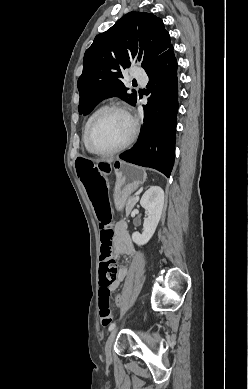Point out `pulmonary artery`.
Instances as JSON below:
<instances>
[{"mask_svg": "<svg viewBox=\"0 0 248 389\" xmlns=\"http://www.w3.org/2000/svg\"><path fill=\"white\" fill-rule=\"evenodd\" d=\"M134 78L138 82L143 83V84H145L147 82V77H146V75H143V74L134 73Z\"/></svg>", "mask_w": 248, "mask_h": 389, "instance_id": "1", "label": "pulmonary artery"}]
</instances>
